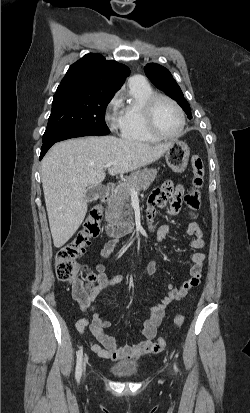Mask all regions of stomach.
Masks as SVG:
<instances>
[{
    "label": "stomach",
    "mask_w": 250,
    "mask_h": 413,
    "mask_svg": "<svg viewBox=\"0 0 250 413\" xmlns=\"http://www.w3.org/2000/svg\"><path fill=\"white\" fill-rule=\"evenodd\" d=\"M170 148L165 152L168 166L177 173H182L187 167L190 150L185 142L173 140Z\"/></svg>",
    "instance_id": "0dacf381"
}]
</instances>
